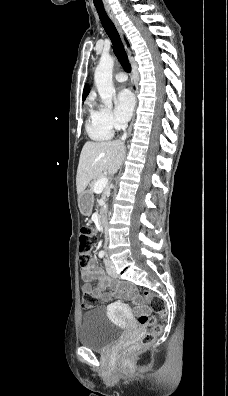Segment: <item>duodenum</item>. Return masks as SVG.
<instances>
[{
  "label": "duodenum",
  "mask_w": 228,
  "mask_h": 396,
  "mask_svg": "<svg viewBox=\"0 0 228 396\" xmlns=\"http://www.w3.org/2000/svg\"><path fill=\"white\" fill-rule=\"evenodd\" d=\"M99 223L102 226L106 225V209L105 207H102L100 212H99V217H98Z\"/></svg>",
  "instance_id": "410a0bca"
}]
</instances>
